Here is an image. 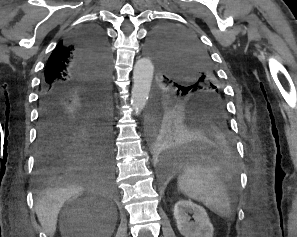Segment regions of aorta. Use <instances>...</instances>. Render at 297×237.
I'll use <instances>...</instances> for the list:
<instances>
[{
    "label": "aorta",
    "instance_id": "obj_1",
    "mask_svg": "<svg viewBox=\"0 0 297 237\" xmlns=\"http://www.w3.org/2000/svg\"><path fill=\"white\" fill-rule=\"evenodd\" d=\"M151 40L149 41L150 50ZM154 65L147 57L138 59L133 70V88L131 106L136 114H139L145 107L148 100L151 83L153 79Z\"/></svg>",
    "mask_w": 297,
    "mask_h": 237
}]
</instances>
